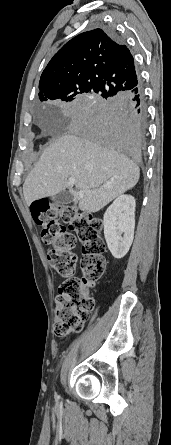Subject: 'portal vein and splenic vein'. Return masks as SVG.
<instances>
[{
    "label": "portal vein and splenic vein",
    "instance_id": "18ae733b",
    "mask_svg": "<svg viewBox=\"0 0 171 445\" xmlns=\"http://www.w3.org/2000/svg\"><path fill=\"white\" fill-rule=\"evenodd\" d=\"M68 182H69L70 185H75V179H74V178H69V179H68ZM86 192H90V191L79 190L78 195H79L80 197H82V196L84 195V193H86Z\"/></svg>",
    "mask_w": 171,
    "mask_h": 445
}]
</instances>
